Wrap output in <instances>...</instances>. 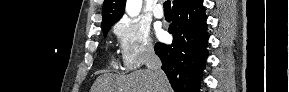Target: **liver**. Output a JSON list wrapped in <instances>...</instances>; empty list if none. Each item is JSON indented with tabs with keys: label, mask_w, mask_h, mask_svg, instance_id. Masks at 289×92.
Masks as SVG:
<instances>
[{
	"label": "liver",
	"mask_w": 289,
	"mask_h": 92,
	"mask_svg": "<svg viewBox=\"0 0 289 92\" xmlns=\"http://www.w3.org/2000/svg\"><path fill=\"white\" fill-rule=\"evenodd\" d=\"M91 92H159L156 87L154 74L150 70H138L128 75L105 73L96 79ZM164 91L171 92L168 81Z\"/></svg>",
	"instance_id": "obj_1"
}]
</instances>
